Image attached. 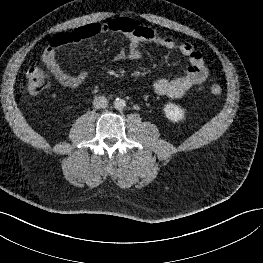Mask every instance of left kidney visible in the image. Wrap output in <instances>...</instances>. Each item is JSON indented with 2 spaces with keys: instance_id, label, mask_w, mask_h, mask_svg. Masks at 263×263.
Returning <instances> with one entry per match:
<instances>
[{
  "instance_id": "5707ae66",
  "label": "left kidney",
  "mask_w": 263,
  "mask_h": 263,
  "mask_svg": "<svg viewBox=\"0 0 263 263\" xmlns=\"http://www.w3.org/2000/svg\"><path fill=\"white\" fill-rule=\"evenodd\" d=\"M164 113L168 120L179 122L184 119L185 112L179 106L169 103L164 106Z\"/></svg>"
}]
</instances>
